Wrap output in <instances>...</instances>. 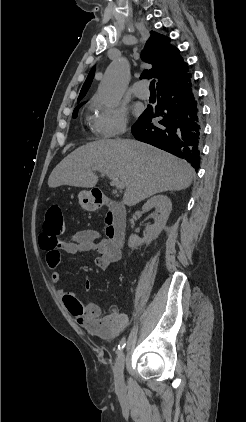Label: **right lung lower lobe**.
I'll return each mask as SVG.
<instances>
[{
	"label": "right lung lower lobe",
	"instance_id": "98d812e1",
	"mask_svg": "<svg viewBox=\"0 0 246 422\" xmlns=\"http://www.w3.org/2000/svg\"><path fill=\"white\" fill-rule=\"evenodd\" d=\"M158 105L147 108L132 127L134 137L180 158L197 171L202 140L201 112L191 74L157 90ZM162 117L157 124L151 123Z\"/></svg>",
	"mask_w": 246,
	"mask_h": 422
}]
</instances>
